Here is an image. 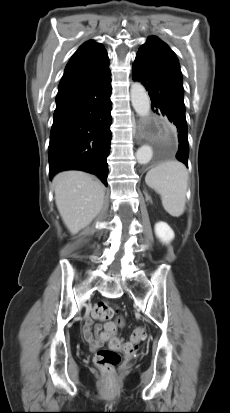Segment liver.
Wrapping results in <instances>:
<instances>
[{
    "instance_id": "1",
    "label": "liver",
    "mask_w": 230,
    "mask_h": 413,
    "mask_svg": "<svg viewBox=\"0 0 230 413\" xmlns=\"http://www.w3.org/2000/svg\"><path fill=\"white\" fill-rule=\"evenodd\" d=\"M55 202L71 234L88 226L100 213L105 188L96 178L81 171H65L53 179Z\"/></svg>"
}]
</instances>
